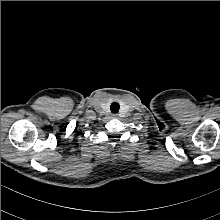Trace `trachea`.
<instances>
[{"label":"trachea","mask_w":220,"mask_h":220,"mask_svg":"<svg viewBox=\"0 0 220 220\" xmlns=\"http://www.w3.org/2000/svg\"><path fill=\"white\" fill-rule=\"evenodd\" d=\"M111 112L112 113H117L120 109V105L117 102H113L110 106Z\"/></svg>","instance_id":"1"}]
</instances>
